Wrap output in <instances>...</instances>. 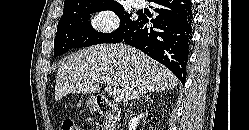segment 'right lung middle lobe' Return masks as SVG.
I'll use <instances>...</instances> for the list:
<instances>
[{
    "instance_id": "obj_1",
    "label": "right lung middle lobe",
    "mask_w": 249,
    "mask_h": 130,
    "mask_svg": "<svg viewBox=\"0 0 249 130\" xmlns=\"http://www.w3.org/2000/svg\"><path fill=\"white\" fill-rule=\"evenodd\" d=\"M104 10L114 11L120 18V27L112 33L95 31L89 21L91 13ZM131 15L124 11L118 1L97 3L80 10H64L54 41V57L66 53L71 48L118 42L137 22Z\"/></svg>"
}]
</instances>
